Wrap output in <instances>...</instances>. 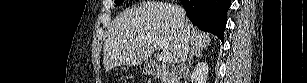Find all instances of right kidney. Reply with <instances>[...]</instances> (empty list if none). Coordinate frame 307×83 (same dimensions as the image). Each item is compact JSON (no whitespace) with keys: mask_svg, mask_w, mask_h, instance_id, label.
Wrapping results in <instances>:
<instances>
[{"mask_svg":"<svg viewBox=\"0 0 307 83\" xmlns=\"http://www.w3.org/2000/svg\"><path fill=\"white\" fill-rule=\"evenodd\" d=\"M209 67L206 62H200L194 68L191 75L192 83H206L208 79Z\"/></svg>","mask_w":307,"mask_h":83,"instance_id":"right-kidney-1","label":"right kidney"}]
</instances>
